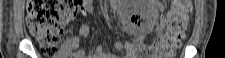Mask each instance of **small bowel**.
<instances>
[{"label": "small bowel", "instance_id": "c3829d8e", "mask_svg": "<svg viewBox=\"0 0 225 58\" xmlns=\"http://www.w3.org/2000/svg\"><path fill=\"white\" fill-rule=\"evenodd\" d=\"M155 5L158 8H162V4L158 1H155ZM84 8L87 11H91V2H86L84 5ZM162 30V25L159 24L155 28L150 27L146 29V32H156L159 33ZM90 33V28L87 24H82L79 27V37L72 38L68 40L65 43L64 46V53L59 56V58H136L137 51L138 49L144 45V34H141L138 36V38L134 42H125L122 43L120 41H116L113 45V48L115 51H122L121 56H116L112 54H108L103 51L101 46L96 47L95 50L91 51L90 53H85L84 51L81 50H76L79 46L80 43V38L87 37ZM65 54H68L69 56H65Z\"/></svg>", "mask_w": 225, "mask_h": 58}]
</instances>
